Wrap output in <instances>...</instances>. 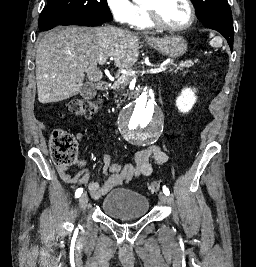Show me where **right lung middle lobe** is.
<instances>
[{"mask_svg":"<svg viewBox=\"0 0 256 267\" xmlns=\"http://www.w3.org/2000/svg\"><path fill=\"white\" fill-rule=\"evenodd\" d=\"M76 20L102 23L111 21L107 0H47L39 17V28L46 31L56 25Z\"/></svg>","mask_w":256,"mask_h":267,"instance_id":"obj_1","label":"right lung middle lobe"}]
</instances>
